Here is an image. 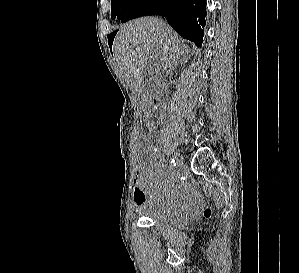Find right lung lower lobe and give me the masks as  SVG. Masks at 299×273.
Masks as SVG:
<instances>
[{
	"mask_svg": "<svg viewBox=\"0 0 299 273\" xmlns=\"http://www.w3.org/2000/svg\"><path fill=\"white\" fill-rule=\"evenodd\" d=\"M156 14L164 16L183 38L202 45L206 0H136L120 20Z\"/></svg>",
	"mask_w": 299,
	"mask_h": 273,
	"instance_id": "right-lung-lower-lobe-1",
	"label": "right lung lower lobe"
}]
</instances>
